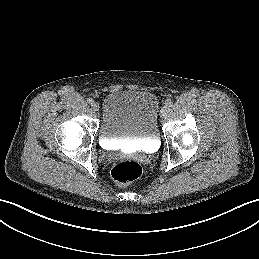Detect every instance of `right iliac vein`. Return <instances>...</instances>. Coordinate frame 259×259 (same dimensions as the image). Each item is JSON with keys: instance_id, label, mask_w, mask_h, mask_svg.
Returning <instances> with one entry per match:
<instances>
[{"instance_id": "1", "label": "right iliac vein", "mask_w": 259, "mask_h": 259, "mask_svg": "<svg viewBox=\"0 0 259 259\" xmlns=\"http://www.w3.org/2000/svg\"><path fill=\"white\" fill-rule=\"evenodd\" d=\"M91 106H92V109L94 111H98L99 110V104L97 102H93Z\"/></svg>"}]
</instances>
